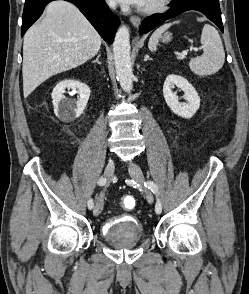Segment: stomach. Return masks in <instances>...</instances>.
I'll return each mask as SVG.
<instances>
[{
    "label": "stomach",
    "instance_id": "obj_1",
    "mask_svg": "<svg viewBox=\"0 0 249 294\" xmlns=\"http://www.w3.org/2000/svg\"><path fill=\"white\" fill-rule=\"evenodd\" d=\"M162 39H163V42L170 41V39H171L170 34H168V33L164 34V36L162 37Z\"/></svg>",
    "mask_w": 249,
    "mask_h": 294
}]
</instances>
